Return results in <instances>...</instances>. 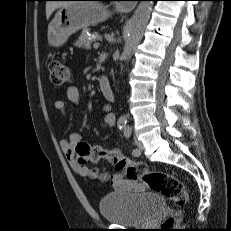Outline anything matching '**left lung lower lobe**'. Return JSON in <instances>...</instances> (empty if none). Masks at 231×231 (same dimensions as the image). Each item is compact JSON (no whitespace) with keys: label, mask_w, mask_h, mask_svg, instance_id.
Here are the masks:
<instances>
[{"label":"left lung lower lobe","mask_w":231,"mask_h":231,"mask_svg":"<svg viewBox=\"0 0 231 231\" xmlns=\"http://www.w3.org/2000/svg\"><path fill=\"white\" fill-rule=\"evenodd\" d=\"M100 1H111V0H100Z\"/></svg>","instance_id":"1"}]
</instances>
